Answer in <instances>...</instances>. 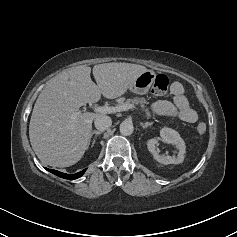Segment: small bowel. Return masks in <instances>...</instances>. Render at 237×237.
<instances>
[{
    "label": "small bowel",
    "instance_id": "obj_1",
    "mask_svg": "<svg viewBox=\"0 0 237 237\" xmlns=\"http://www.w3.org/2000/svg\"><path fill=\"white\" fill-rule=\"evenodd\" d=\"M173 101H157L151 106L153 112L158 115L177 116L182 121L195 124L198 122L197 112L190 106L184 95V88L181 83L174 82L171 86Z\"/></svg>",
    "mask_w": 237,
    "mask_h": 237
}]
</instances>
